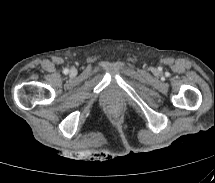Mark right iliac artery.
<instances>
[{"label": "right iliac artery", "instance_id": "1", "mask_svg": "<svg viewBox=\"0 0 215 183\" xmlns=\"http://www.w3.org/2000/svg\"><path fill=\"white\" fill-rule=\"evenodd\" d=\"M65 74H67L69 71H68V69H64V71H63Z\"/></svg>", "mask_w": 215, "mask_h": 183}]
</instances>
